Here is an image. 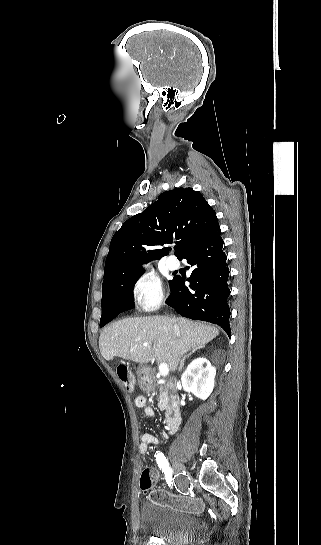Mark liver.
I'll return each mask as SVG.
<instances>
[{"label": "liver", "mask_w": 321, "mask_h": 545, "mask_svg": "<svg viewBox=\"0 0 321 545\" xmlns=\"http://www.w3.org/2000/svg\"><path fill=\"white\" fill-rule=\"evenodd\" d=\"M217 335L216 327L182 317H131L107 325L99 337V349L106 361L122 357L147 365L156 357L159 363H167L170 371H176L182 355Z\"/></svg>", "instance_id": "liver-1"}]
</instances>
